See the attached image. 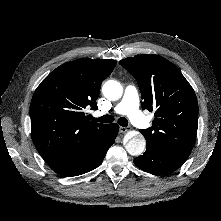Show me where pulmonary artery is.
Wrapping results in <instances>:
<instances>
[{"label": "pulmonary artery", "instance_id": "pulmonary-artery-1", "mask_svg": "<svg viewBox=\"0 0 221 221\" xmlns=\"http://www.w3.org/2000/svg\"><path fill=\"white\" fill-rule=\"evenodd\" d=\"M113 112L127 115L136 126L146 127L148 124L147 119L139 110V93L133 85L126 86L123 98L114 107Z\"/></svg>", "mask_w": 221, "mask_h": 221}]
</instances>
